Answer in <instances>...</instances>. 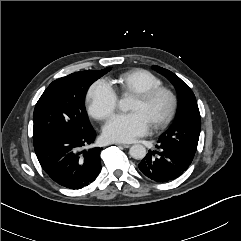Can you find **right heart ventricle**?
I'll use <instances>...</instances> for the list:
<instances>
[{
	"instance_id": "right-heart-ventricle-1",
	"label": "right heart ventricle",
	"mask_w": 241,
	"mask_h": 241,
	"mask_svg": "<svg viewBox=\"0 0 241 241\" xmlns=\"http://www.w3.org/2000/svg\"><path fill=\"white\" fill-rule=\"evenodd\" d=\"M115 83L122 95H135L162 85L159 77L144 69H133L124 72L118 76Z\"/></svg>"
}]
</instances>
